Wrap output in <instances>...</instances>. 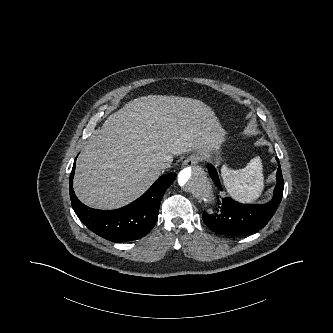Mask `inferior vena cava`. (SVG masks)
Instances as JSON below:
<instances>
[{"label": "inferior vena cava", "mask_w": 333, "mask_h": 333, "mask_svg": "<svg viewBox=\"0 0 333 333\" xmlns=\"http://www.w3.org/2000/svg\"><path fill=\"white\" fill-rule=\"evenodd\" d=\"M168 167H170V164L165 162V161H160L157 163V168L160 170V171H164L165 169H167Z\"/></svg>", "instance_id": "inferior-vena-cava-1"}]
</instances>
